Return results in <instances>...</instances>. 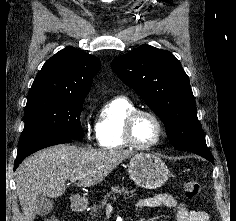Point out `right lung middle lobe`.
Returning a JSON list of instances; mask_svg holds the SVG:
<instances>
[{"mask_svg": "<svg viewBox=\"0 0 236 221\" xmlns=\"http://www.w3.org/2000/svg\"><path fill=\"white\" fill-rule=\"evenodd\" d=\"M85 97L28 96L25 127L18 146L39 139L82 138L80 114Z\"/></svg>", "mask_w": 236, "mask_h": 221, "instance_id": "1", "label": "right lung middle lobe"}]
</instances>
